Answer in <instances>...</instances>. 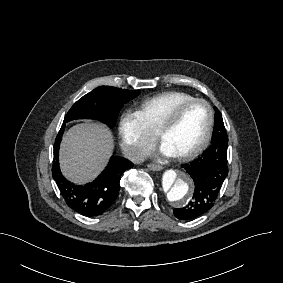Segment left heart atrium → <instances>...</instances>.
<instances>
[{"label": "left heart atrium", "instance_id": "39dd6f15", "mask_svg": "<svg viewBox=\"0 0 283 283\" xmlns=\"http://www.w3.org/2000/svg\"><path fill=\"white\" fill-rule=\"evenodd\" d=\"M162 153L166 156V157H174V155L168 151L167 149L163 148L162 149Z\"/></svg>", "mask_w": 283, "mask_h": 283}]
</instances>
